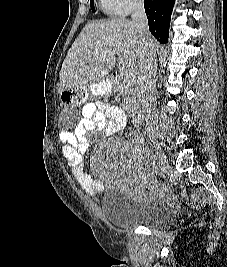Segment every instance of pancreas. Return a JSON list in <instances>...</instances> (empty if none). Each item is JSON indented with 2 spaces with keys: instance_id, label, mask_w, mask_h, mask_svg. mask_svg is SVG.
<instances>
[{
  "instance_id": "cf45deb5",
  "label": "pancreas",
  "mask_w": 227,
  "mask_h": 267,
  "mask_svg": "<svg viewBox=\"0 0 227 267\" xmlns=\"http://www.w3.org/2000/svg\"><path fill=\"white\" fill-rule=\"evenodd\" d=\"M118 91L123 97V106L126 110H134L138 106L139 92L134 84L129 85L123 80L118 86Z\"/></svg>"
}]
</instances>
